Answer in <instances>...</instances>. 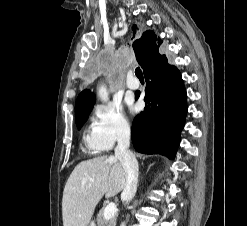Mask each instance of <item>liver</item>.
Wrapping results in <instances>:
<instances>
[{
  "label": "liver",
  "mask_w": 247,
  "mask_h": 226,
  "mask_svg": "<svg viewBox=\"0 0 247 226\" xmlns=\"http://www.w3.org/2000/svg\"><path fill=\"white\" fill-rule=\"evenodd\" d=\"M125 183L124 168L113 156L80 162L63 191V226H88L102 197L117 195L124 189Z\"/></svg>",
  "instance_id": "6515ba94"
}]
</instances>
